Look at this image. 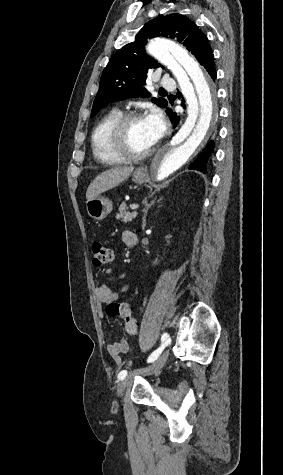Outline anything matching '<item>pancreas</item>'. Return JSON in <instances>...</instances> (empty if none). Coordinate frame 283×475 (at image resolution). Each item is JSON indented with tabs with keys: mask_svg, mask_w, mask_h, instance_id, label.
Here are the masks:
<instances>
[{
	"mask_svg": "<svg viewBox=\"0 0 283 475\" xmlns=\"http://www.w3.org/2000/svg\"><path fill=\"white\" fill-rule=\"evenodd\" d=\"M118 212L119 214H117L115 218L116 220H120V218H122L121 222H124V224H127V222H132L133 218H136L137 216L136 212H133V214H131V212H127V206L125 202L120 204Z\"/></svg>",
	"mask_w": 283,
	"mask_h": 475,
	"instance_id": "pancreas-1",
	"label": "pancreas"
}]
</instances>
